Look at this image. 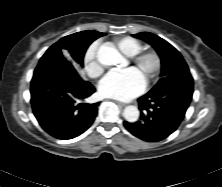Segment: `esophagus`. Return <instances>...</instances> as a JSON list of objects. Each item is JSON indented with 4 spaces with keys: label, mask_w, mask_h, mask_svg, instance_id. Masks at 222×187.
<instances>
[{
    "label": "esophagus",
    "mask_w": 222,
    "mask_h": 187,
    "mask_svg": "<svg viewBox=\"0 0 222 187\" xmlns=\"http://www.w3.org/2000/svg\"><path fill=\"white\" fill-rule=\"evenodd\" d=\"M117 105H120V106H122V107H124L126 104H124V103H121V102H119V101H114Z\"/></svg>",
    "instance_id": "1"
}]
</instances>
